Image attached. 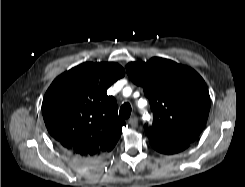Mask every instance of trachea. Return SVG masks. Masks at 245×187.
I'll use <instances>...</instances> for the list:
<instances>
[{
  "mask_svg": "<svg viewBox=\"0 0 245 187\" xmlns=\"http://www.w3.org/2000/svg\"><path fill=\"white\" fill-rule=\"evenodd\" d=\"M131 110H132L131 105L129 103H124L120 108V112H119L120 117L122 119L129 118L131 115Z\"/></svg>",
  "mask_w": 245,
  "mask_h": 187,
  "instance_id": "trachea-1",
  "label": "trachea"
}]
</instances>
